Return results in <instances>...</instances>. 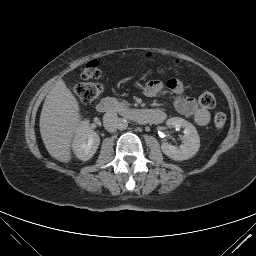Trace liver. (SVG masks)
<instances>
[{"instance_id": "6515ba94", "label": "liver", "mask_w": 256, "mask_h": 256, "mask_svg": "<svg viewBox=\"0 0 256 256\" xmlns=\"http://www.w3.org/2000/svg\"><path fill=\"white\" fill-rule=\"evenodd\" d=\"M80 107L63 80H58L45 98L40 115V133L48 153L68 163L71 143L80 126Z\"/></svg>"}]
</instances>
